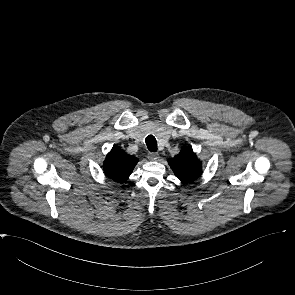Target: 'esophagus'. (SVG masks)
I'll use <instances>...</instances> for the list:
<instances>
[{
    "label": "esophagus",
    "mask_w": 295,
    "mask_h": 295,
    "mask_svg": "<svg viewBox=\"0 0 295 295\" xmlns=\"http://www.w3.org/2000/svg\"><path fill=\"white\" fill-rule=\"evenodd\" d=\"M147 158H148L150 161H156V160H158V159L160 158V156H159L158 153L150 152V153H148Z\"/></svg>",
    "instance_id": "obj_1"
}]
</instances>
